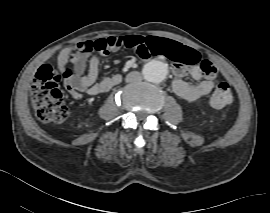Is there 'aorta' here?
Segmentation results:
<instances>
[{
    "instance_id": "obj_1",
    "label": "aorta",
    "mask_w": 270,
    "mask_h": 213,
    "mask_svg": "<svg viewBox=\"0 0 270 213\" xmlns=\"http://www.w3.org/2000/svg\"><path fill=\"white\" fill-rule=\"evenodd\" d=\"M167 74V64L162 61L152 60L148 62L143 68L144 78L152 83H161L165 80Z\"/></svg>"
}]
</instances>
